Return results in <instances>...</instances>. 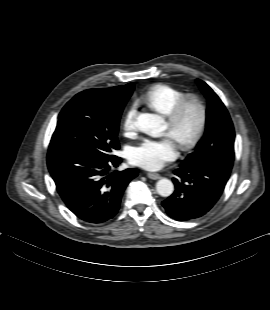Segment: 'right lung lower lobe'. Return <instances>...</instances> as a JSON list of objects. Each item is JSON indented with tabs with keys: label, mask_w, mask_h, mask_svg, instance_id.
I'll return each instance as SVG.
<instances>
[{
	"label": "right lung lower lobe",
	"mask_w": 270,
	"mask_h": 310,
	"mask_svg": "<svg viewBox=\"0 0 270 310\" xmlns=\"http://www.w3.org/2000/svg\"><path fill=\"white\" fill-rule=\"evenodd\" d=\"M120 162L114 155L99 158L70 151L49 152L47 156L50 174L62 200L79 219L89 223L113 218L125 188L138 175L135 169L109 172L110 165Z\"/></svg>",
	"instance_id": "1"
}]
</instances>
